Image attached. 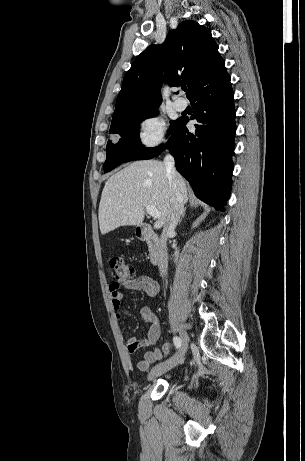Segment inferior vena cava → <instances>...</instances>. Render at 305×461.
<instances>
[{
    "mask_svg": "<svg viewBox=\"0 0 305 461\" xmlns=\"http://www.w3.org/2000/svg\"><path fill=\"white\" fill-rule=\"evenodd\" d=\"M174 164V158L170 154L166 155L164 158V165L172 195L170 199V209L166 216L158 250V268L162 277L167 274L168 269L167 238L170 233L174 232L183 211V197L180 192V183L177 179Z\"/></svg>",
    "mask_w": 305,
    "mask_h": 461,
    "instance_id": "602c4592",
    "label": "inferior vena cava"
}]
</instances>
